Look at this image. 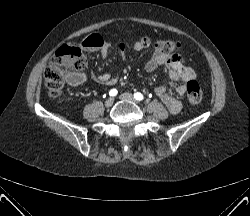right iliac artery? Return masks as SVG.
I'll use <instances>...</instances> for the list:
<instances>
[{
  "label": "right iliac artery",
  "instance_id": "82829eb1",
  "mask_svg": "<svg viewBox=\"0 0 250 216\" xmlns=\"http://www.w3.org/2000/svg\"><path fill=\"white\" fill-rule=\"evenodd\" d=\"M117 93H118V91L116 89H111L109 92V95L113 97V96H116Z\"/></svg>",
  "mask_w": 250,
  "mask_h": 216
}]
</instances>
